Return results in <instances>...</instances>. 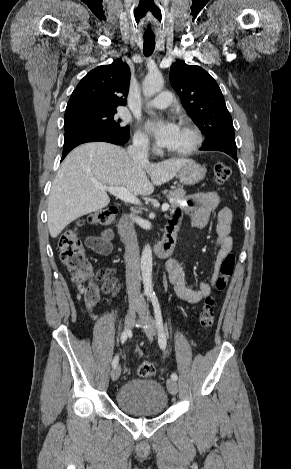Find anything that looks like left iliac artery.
Instances as JSON below:
<instances>
[{"label": "left iliac artery", "instance_id": "left-iliac-artery-1", "mask_svg": "<svg viewBox=\"0 0 291 469\" xmlns=\"http://www.w3.org/2000/svg\"><path fill=\"white\" fill-rule=\"evenodd\" d=\"M150 299L154 308V314H155V319H156V324L158 328V343L159 346L162 350H165L167 340H166V335L164 332V326H163V319H162V313H161V308L160 304L158 302L157 296L155 293L150 294ZM171 378L176 381L178 379L176 373L171 374Z\"/></svg>", "mask_w": 291, "mask_h": 469}]
</instances>
